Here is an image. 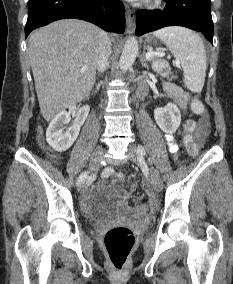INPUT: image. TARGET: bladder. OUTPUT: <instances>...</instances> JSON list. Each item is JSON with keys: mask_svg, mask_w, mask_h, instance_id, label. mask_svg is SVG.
I'll return each mask as SVG.
<instances>
[{"mask_svg": "<svg viewBox=\"0 0 233 284\" xmlns=\"http://www.w3.org/2000/svg\"><path fill=\"white\" fill-rule=\"evenodd\" d=\"M126 195L127 192L121 185L113 182H100L85 194V199L91 204L107 207L122 201Z\"/></svg>", "mask_w": 233, "mask_h": 284, "instance_id": "31cf9c89", "label": "bladder"}]
</instances>
